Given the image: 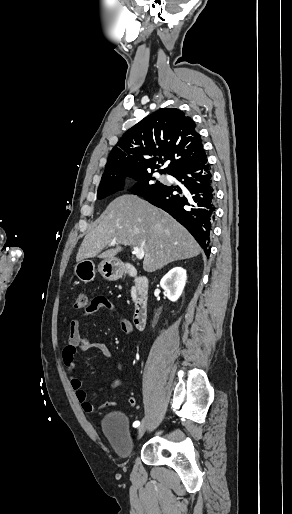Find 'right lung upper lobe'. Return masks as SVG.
<instances>
[{"mask_svg":"<svg viewBox=\"0 0 292 514\" xmlns=\"http://www.w3.org/2000/svg\"><path fill=\"white\" fill-rule=\"evenodd\" d=\"M195 122L176 108L160 109L130 128L112 149L102 179L152 172L171 174L205 155Z\"/></svg>","mask_w":292,"mask_h":514,"instance_id":"right-lung-upper-lobe-1","label":"right lung upper lobe"}]
</instances>
